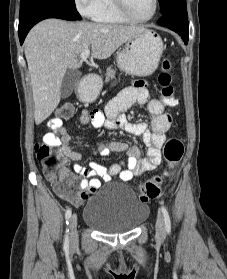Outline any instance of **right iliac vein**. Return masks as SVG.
<instances>
[{"mask_svg": "<svg viewBox=\"0 0 227 279\" xmlns=\"http://www.w3.org/2000/svg\"><path fill=\"white\" fill-rule=\"evenodd\" d=\"M69 230H70L71 243L74 244L77 242V239H78L77 215L76 214H73L69 219Z\"/></svg>", "mask_w": 227, "mask_h": 279, "instance_id": "right-iliac-vein-1", "label": "right iliac vein"}]
</instances>
